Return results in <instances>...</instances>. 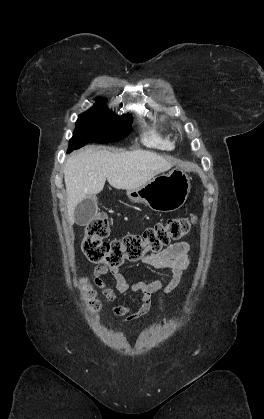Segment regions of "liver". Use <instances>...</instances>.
<instances>
[{
  "instance_id": "1",
  "label": "liver",
  "mask_w": 264,
  "mask_h": 419,
  "mask_svg": "<svg viewBox=\"0 0 264 419\" xmlns=\"http://www.w3.org/2000/svg\"><path fill=\"white\" fill-rule=\"evenodd\" d=\"M173 164L170 158L145 150L113 153L88 146L71 154L64 167L70 224L75 221L76 206L87 196L100 193L106 179L116 189H135L168 171Z\"/></svg>"
}]
</instances>
